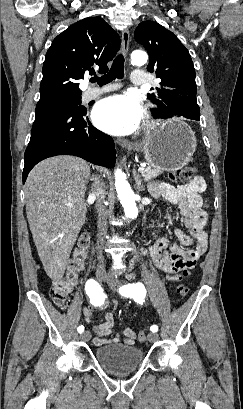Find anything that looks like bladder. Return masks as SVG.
<instances>
[{"label":"bladder","mask_w":243,"mask_h":409,"mask_svg":"<svg viewBox=\"0 0 243 409\" xmlns=\"http://www.w3.org/2000/svg\"><path fill=\"white\" fill-rule=\"evenodd\" d=\"M96 361L111 373L135 370L143 361V350L136 346L113 343L98 347L94 351Z\"/></svg>","instance_id":"1"}]
</instances>
